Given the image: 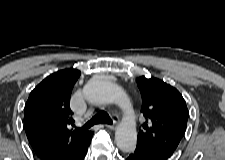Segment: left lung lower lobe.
<instances>
[{"label": "left lung lower lobe", "instance_id": "obj_1", "mask_svg": "<svg viewBox=\"0 0 225 160\" xmlns=\"http://www.w3.org/2000/svg\"><path fill=\"white\" fill-rule=\"evenodd\" d=\"M126 160H159L153 156H150L146 153H143L139 150H135L134 152L130 153Z\"/></svg>", "mask_w": 225, "mask_h": 160}]
</instances>
